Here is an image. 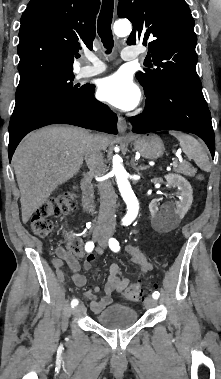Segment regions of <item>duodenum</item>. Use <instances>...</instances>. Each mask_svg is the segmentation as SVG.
I'll use <instances>...</instances> for the list:
<instances>
[{
    "mask_svg": "<svg viewBox=\"0 0 221 379\" xmlns=\"http://www.w3.org/2000/svg\"><path fill=\"white\" fill-rule=\"evenodd\" d=\"M83 206L87 212H91L93 210V191L87 184L84 185Z\"/></svg>",
    "mask_w": 221,
    "mask_h": 379,
    "instance_id": "410a0bca",
    "label": "duodenum"
}]
</instances>
